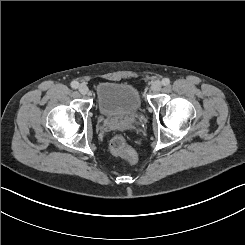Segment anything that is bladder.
<instances>
[{
    "instance_id": "31cf9c89",
    "label": "bladder",
    "mask_w": 245,
    "mask_h": 245,
    "mask_svg": "<svg viewBox=\"0 0 245 245\" xmlns=\"http://www.w3.org/2000/svg\"><path fill=\"white\" fill-rule=\"evenodd\" d=\"M96 101L100 113H136L142 106L135 87L126 84L98 83Z\"/></svg>"
}]
</instances>
